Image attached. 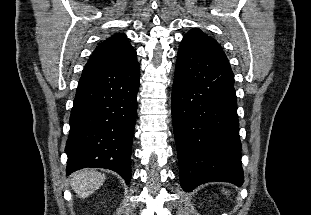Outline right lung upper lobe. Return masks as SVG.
I'll list each match as a JSON object with an SVG mask.
<instances>
[{
	"instance_id": "1",
	"label": "right lung upper lobe",
	"mask_w": 311,
	"mask_h": 215,
	"mask_svg": "<svg viewBox=\"0 0 311 215\" xmlns=\"http://www.w3.org/2000/svg\"><path fill=\"white\" fill-rule=\"evenodd\" d=\"M136 61V51L123 33L112 35L93 51L86 65L123 67Z\"/></svg>"
}]
</instances>
